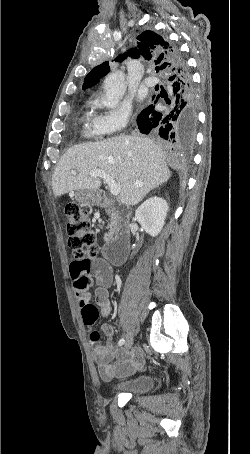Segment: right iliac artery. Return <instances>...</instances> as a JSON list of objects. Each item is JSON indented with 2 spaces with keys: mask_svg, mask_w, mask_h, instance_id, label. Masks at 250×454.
<instances>
[{
  "mask_svg": "<svg viewBox=\"0 0 250 454\" xmlns=\"http://www.w3.org/2000/svg\"><path fill=\"white\" fill-rule=\"evenodd\" d=\"M124 342H125L124 338H121L118 342V345L122 346L124 344Z\"/></svg>",
  "mask_w": 250,
  "mask_h": 454,
  "instance_id": "obj_1",
  "label": "right iliac artery"
}]
</instances>
